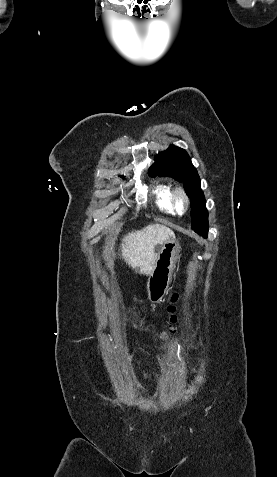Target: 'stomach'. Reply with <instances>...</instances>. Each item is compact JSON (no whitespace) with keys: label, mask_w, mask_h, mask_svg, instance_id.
Wrapping results in <instances>:
<instances>
[{"label":"stomach","mask_w":277,"mask_h":477,"mask_svg":"<svg viewBox=\"0 0 277 477\" xmlns=\"http://www.w3.org/2000/svg\"><path fill=\"white\" fill-rule=\"evenodd\" d=\"M179 252L180 244L175 237L161 245L156 264L146 285L148 300L151 303L161 302L167 294Z\"/></svg>","instance_id":"0dacf381"}]
</instances>
